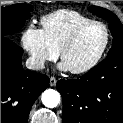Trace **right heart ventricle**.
<instances>
[{
	"instance_id": "1",
	"label": "right heart ventricle",
	"mask_w": 123,
	"mask_h": 123,
	"mask_svg": "<svg viewBox=\"0 0 123 123\" xmlns=\"http://www.w3.org/2000/svg\"><path fill=\"white\" fill-rule=\"evenodd\" d=\"M93 21L91 18L68 9H60L41 18L42 31L49 45L59 52L62 45L81 25Z\"/></svg>"
}]
</instances>
